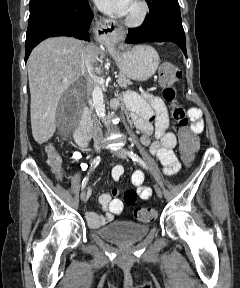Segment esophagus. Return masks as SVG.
Wrapping results in <instances>:
<instances>
[{
	"mask_svg": "<svg viewBox=\"0 0 240 288\" xmlns=\"http://www.w3.org/2000/svg\"><path fill=\"white\" fill-rule=\"evenodd\" d=\"M115 21L104 19L97 23L96 37L105 46H111L115 42V32L117 31Z\"/></svg>",
	"mask_w": 240,
	"mask_h": 288,
	"instance_id": "obj_1",
	"label": "esophagus"
}]
</instances>
